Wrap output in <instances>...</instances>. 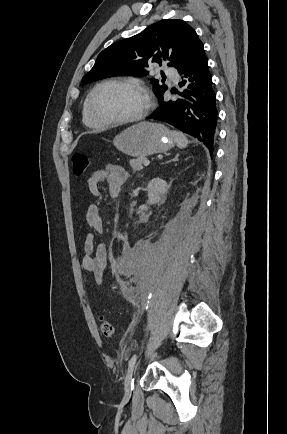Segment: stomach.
I'll use <instances>...</instances> for the list:
<instances>
[{
    "label": "stomach",
    "mask_w": 287,
    "mask_h": 434,
    "mask_svg": "<svg viewBox=\"0 0 287 434\" xmlns=\"http://www.w3.org/2000/svg\"><path fill=\"white\" fill-rule=\"evenodd\" d=\"M113 144L126 155L145 157L170 150L175 140L164 125L144 121L119 133Z\"/></svg>",
    "instance_id": "0dacf381"
}]
</instances>
